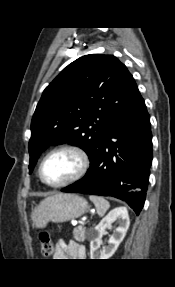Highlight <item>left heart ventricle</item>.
<instances>
[{"mask_svg":"<svg viewBox=\"0 0 175 287\" xmlns=\"http://www.w3.org/2000/svg\"><path fill=\"white\" fill-rule=\"evenodd\" d=\"M78 157L70 151H61L50 156L44 164V179L51 183H61L72 177L79 169Z\"/></svg>","mask_w":175,"mask_h":287,"instance_id":"left-heart-ventricle-1","label":"left heart ventricle"}]
</instances>
